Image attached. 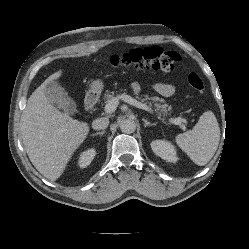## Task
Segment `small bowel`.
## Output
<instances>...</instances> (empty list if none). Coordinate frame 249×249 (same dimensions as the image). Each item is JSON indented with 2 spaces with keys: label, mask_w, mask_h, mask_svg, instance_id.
I'll return each instance as SVG.
<instances>
[{
  "label": "small bowel",
  "mask_w": 249,
  "mask_h": 249,
  "mask_svg": "<svg viewBox=\"0 0 249 249\" xmlns=\"http://www.w3.org/2000/svg\"><path fill=\"white\" fill-rule=\"evenodd\" d=\"M132 89L135 93H139L140 85L138 83H133ZM153 89L157 93L161 94L162 96H166V97L173 95L175 92V87L172 84H168V83H155L153 85Z\"/></svg>",
  "instance_id": "obj_1"
}]
</instances>
